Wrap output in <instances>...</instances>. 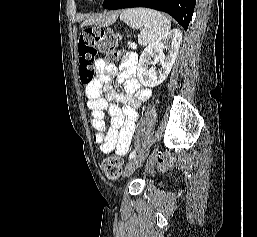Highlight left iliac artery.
<instances>
[{
    "label": "left iliac artery",
    "mask_w": 257,
    "mask_h": 237,
    "mask_svg": "<svg viewBox=\"0 0 257 237\" xmlns=\"http://www.w3.org/2000/svg\"><path fill=\"white\" fill-rule=\"evenodd\" d=\"M135 155H136V150H133V151L131 152V154L129 155V159H130V160L133 159V158L135 157Z\"/></svg>",
    "instance_id": "obj_1"
}]
</instances>
